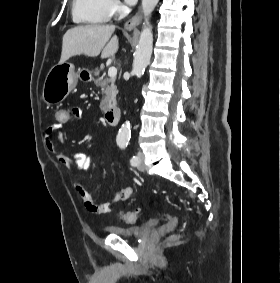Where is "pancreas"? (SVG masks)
<instances>
[{
  "mask_svg": "<svg viewBox=\"0 0 280 283\" xmlns=\"http://www.w3.org/2000/svg\"><path fill=\"white\" fill-rule=\"evenodd\" d=\"M100 70L95 69L94 75L98 78L94 80V83L97 87L101 88V93L103 94V98L100 104V109L105 112L109 110L110 108H113L116 106L117 101L116 97L118 94L117 86L115 85V79L114 78H104L99 77Z\"/></svg>",
  "mask_w": 280,
  "mask_h": 283,
  "instance_id": "1",
  "label": "pancreas"
}]
</instances>
